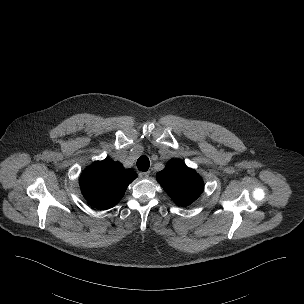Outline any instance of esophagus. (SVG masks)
I'll use <instances>...</instances> for the list:
<instances>
[{
	"label": "esophagus",
	"instance_id": "1",
	"mask_svg": "<svg viewBox=\"0 0 304 304\" xmlns=\"http://www.w3.org/2000/svg\"><path fill=\"white\" fill-rule=\"evenodd\" d=\"M149 175H150V172H140L139 173V177L141 178V179H146V178H148L149 177Z\"/></svg>",
	"mask_w": 304,
	"mask_h": 304
}]
</instances>
